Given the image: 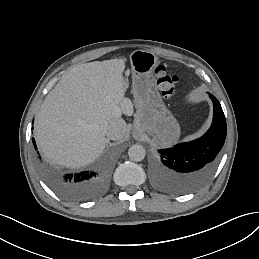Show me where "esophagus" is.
Returning <instances> with one entry per match:
<instances>
[{
	"mask_svg": "<svg viewBox=\"0 0 259 259\" xmlns=\"http://www.w3.org/2000/svg\"><path fill=\"white\" fill-rule=\"evenodd\" d=\"M133 137H134L136 140H139V139H140V133L138 132V130H134Z\"/></svg>",
	"mask_w": 259,
	"mask_h": 259,
	"instance_id": "obj_1",
	"label": "esophagus"
}]
</instances>
